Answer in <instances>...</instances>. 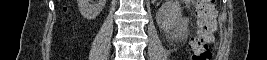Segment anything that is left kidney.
<instances>
[{
    "label": "left kidney",
    "instance_id": "5707ae66",
    "mask_svg": "<svg viewBox=\"0 0 267 60\" xmlns=\"http://www.w3.org/2000/svg\"><path fill=\"white\" fill-rule=\"evenodd\" d=\"M181 11L177 2L167 0L156 13V21L158 26L163 30L173 28L176 20L180 19Z\"/></svg>",
    "mask_w": 267,
    "mask_h": 60
}]
</instances>
